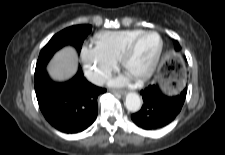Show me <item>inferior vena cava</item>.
I'll return each mask as SVG.
<instances>
[{"mask_svg":"<svg viewBox=\"0 0 225 155\" xmlns=\"http://www.w3.org/2000/svg\"><path fill=\"white\" fill-rule=\"evenodd\" d=\"M112 75L110 72L107 73H96L91 79V82L95 85L102 86L105 82L111 79Z\"/></svg>","mask_w":225,"mask_h":155,"instance_id":"inferior-vena-cava-1","label":"inferior vena cava"}]
</instances>
